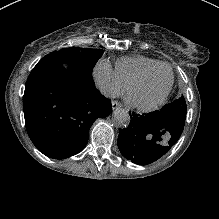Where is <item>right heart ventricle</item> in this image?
Wrapping results in <instances>:
<instances>
[{
    "instance_id": "right-heart-ventricle-1",
    "label": "right heart ventricle",
    "mask_w": 219,
    "mask_h": 219,
    "mask_svg": "<svg viewBox=\"0 0 219 219\" xmlns=\"http://www.w3.org/2000/svg\"><path fill=\"white\" fill-rule=\"evenodd\" d=\"M158 64L157 59L140 54L125 56L115 61L114 73L123 85L128 86L141 73Z\"/></svg>"
}]
</instances>
